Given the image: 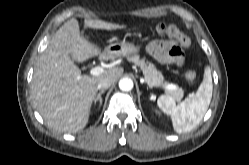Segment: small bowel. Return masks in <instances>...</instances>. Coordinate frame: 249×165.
<instances>
[{"instance_id": "small-bowel-1", "label": "small bowel", "mask_w": 249, "mask_h": 165, "mask_svg": "<svg viewBox=\"0 0 249 165\" xmlns=\"http://www.w3.org/2000/svg\"><path fill=\"white\" fill-rule=\"evenodd\" d=\"M147 51L162 64L182 66L184 58L180 48L173 40H155L147 46Z\"/></svg>"}]
</instances>
